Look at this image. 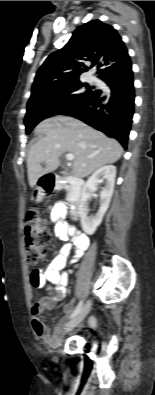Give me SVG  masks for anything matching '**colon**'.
Returning a JSON list of instances; mask_svg holds the SVG:
<instances>
[{
  "label": "colon",
  "mask_w": 155,
  "mask_h": 395,
  "mask_svg": "<svg viewBox=\"0 0 155 395\" xmlns=\"http://www.w3.org/2000/svg\"><path fill=\"white\" fill-rule=\"evenodd\" d=\"M52 239V233L40 213L32 209L25 224L24 243L26 260L29 265H37L45 257V249Z\"/></svg>",
  "instance_id": "5ec220e1"
}]
</instances>
